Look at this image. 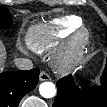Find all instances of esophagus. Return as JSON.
<instances>
[{
    "mask_svg": "<svg viewBox=\"0 0 107 107\" xmlns=\"http://www.w3.org/2000/svg\"><path fill=\"white\" fill-rule=\"evenodd\" d=\"M39 80L40 81L50 80V76L45 71H41L39 75Z\"/></svg>",
    "mask_w": 107,
    "mask_h": 107,
    "instance_id": "esophagus-1",
    "label": "esophagus"
}]
</instances>
